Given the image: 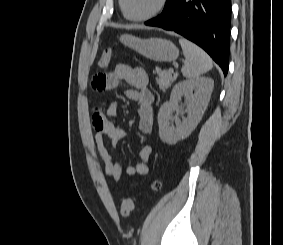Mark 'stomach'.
<instances>
[{
    "instance_id": "stomach-1",
    "label": "stomach",
    "mask_w": 283,
    "mask_h": 245,
    "mask_svg": "<svg viewBox=\"0 0 283 245\" xmlns=\"http://www.w3.org/2000/svg\"><path fill=\"white\" fill-rule=\"evenodd\" d=\"M120 41L127 47L153 61H175L179 56L178 48L169 40L161 38L141 39L124 34Z\"/></svg>"
}]
</instances>
